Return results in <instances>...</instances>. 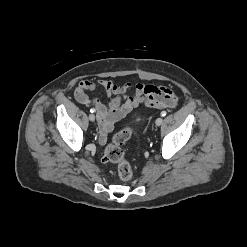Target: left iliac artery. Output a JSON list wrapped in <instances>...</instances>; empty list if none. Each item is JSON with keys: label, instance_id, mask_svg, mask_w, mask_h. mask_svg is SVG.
Here are the masks:
<instances>
[{"label": "left iliac artery", "instance_id": "44dca946", "mask_svg": "<svg viewBox=\"0 0 247 247\" xmlns=\"http://www.w3.org/2000/svg\"><path fill=\"white\" fill-rule=\"evenodd\" d=\"M161 116H162V117L166 116V112H165V111H162V112H161Z\"/></svg>", "mask_w": 247, "mask_h": 247}]
</instances>
